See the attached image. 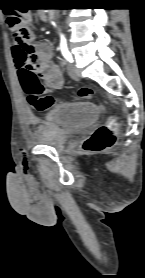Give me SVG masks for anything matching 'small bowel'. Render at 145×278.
<instances>
[{
	"mask_svg": "<svg viewBox=\"0 0 145 278\" xmlns=\"http://www.w3.org/2000/svg\"><path fill=\"white\" fill-rule=\"evenodd\" d=\"M11 53L20 84L23 75L37 70L49 88H61L63 84V75L59 66L52 62V53L47 45L41 44L36 53L33 54L31 52L22 51L19 41L15 38L11 43ZM30 121L36 123L37 118L31 116Z\"/></svg>",
	"mask_w": 145,
	"mask_h": 278,
	"instance_id": "small-bowel-1",
	"label": "small bowel"
}]
</instances>
